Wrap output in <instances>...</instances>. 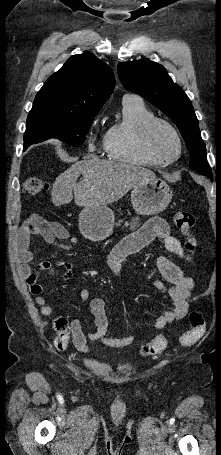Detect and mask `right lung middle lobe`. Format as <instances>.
I'll list each match as a JSON object with an SVG mask.
<instances>
[{"mask_svg": "<svg viewBox=\"0 0 221 455\" xmlns=\"http://www.w3.org/2000/svg\"><path fill=\"white\" fill-rule=\"evenodd\" d=\"M95 113L59 111L49 107H32L24 134V149L48 138H58L71 145L80 146L85 141Z\"/></svg>", "mask_w": 221, "mask_h": 455, "instance_id": "right-lung-middle-lobe-1", "label": "right lung middle lobe"}]
</instances>
